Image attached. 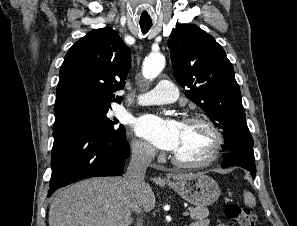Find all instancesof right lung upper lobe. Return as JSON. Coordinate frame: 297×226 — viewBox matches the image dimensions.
<instances>
[{
  "label": "right lung upper lobe",
  "mask_w": 297,
  "mask_h": 226,
  "mask_svg": "<svg viewBox=\"0 0 297 226\" xmlns=\"http://www.w3.org/2000/svg\"><path fill=\"white\" fill-rule=\"evenodd\" d=\"M131 65L130 49L110 27L94 29L66 54L56 89L55 121L89 110H109L122 98Z\"/></svg>",
  "instance_id": "1"
}]
</instances>
